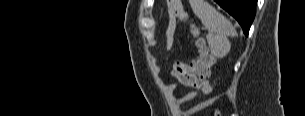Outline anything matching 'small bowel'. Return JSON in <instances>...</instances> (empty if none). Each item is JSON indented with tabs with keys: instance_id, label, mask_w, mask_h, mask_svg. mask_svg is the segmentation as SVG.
Returning <instances> with one entry per match:
<instances>
[{
	"instance_id": "1",
	"label": "small bowel",
	"mask_w": 305,
	"mask_h": 116,
	"mask_svg": "<svg viewBox=\"0 0 305 116\" xmlns=\"http://www.w3.org/2000/svg\"><path fill=\"white\" fill-rule=\"evenodd\" d=\"M196 96V93L195 92H189L187 93L186 95H184L180 101L181 102H188L190 100H192L194 97ZM206 106V103H201V104H198L194 107H192L191 109H189L186 113L187 116H190V115H193L195 114L196 112H198L199 110H201L203 107Z\"/></svg>"
}]
</instances>
